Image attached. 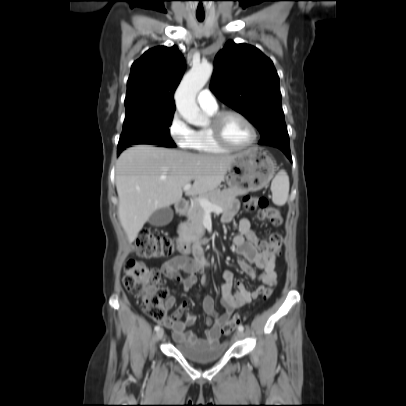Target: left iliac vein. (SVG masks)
<instances>
[{
  "label": "left iliac vein",
  "instance_id": "obj_1",
  "mask_svg": "<svg viewBox=\"0 0 406 406\" xmlns=\"http://www.w3.org/2000/svg\"><path fill=\"white\" fill-rule=\"evenodd\" d=\"M244 337L243 331H237L235 334V339H241Z\"/></svg>",
  "mask_w": 406,
  "mask_h": 406
}]
</instances>
